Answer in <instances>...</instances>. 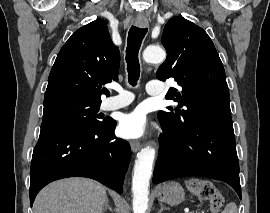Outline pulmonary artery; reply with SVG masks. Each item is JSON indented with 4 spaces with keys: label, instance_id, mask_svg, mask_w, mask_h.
Returning a JSON list of instances; mask_svg holds the SVG:
<instances>
[{
    "label": "pulmonary artery",
    "instance_id": "1",
    "mask_svg": "<svg viewBox=\"0 0 270 213\" xmlns=\"http://www.w3.org/2000/svg\"><path fill=\"white\" fill-rule=\"evenodd\" d=\"M162 88H163L162 82L153 80V81L148 82L146 90L149 95L157 96L162 93V90H163ZM116 90L118 94L108 98L105 101L103 105V108L105 110L109 111V110H116L119 108H123L133 101L134 96L132 93L120 87L117 88Z\"/></svg>",
    "mask_w": 270,
    "mask_h": 213
}]
</instances>
